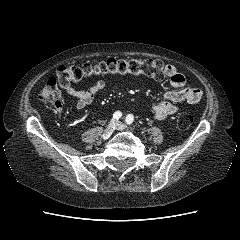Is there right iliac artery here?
I'll use <instances>...</instances> for the list:
<instances>
[{
  "label": "right iliac artery",
  "instance_id": "obj_1",
  "mask_svg": "<svg viewBox=\"0 0 240 240\" xmlns=\"http://www.w3.org/2000/svg\"><path fill=\"white\" fill-rule=\"evenodd\" d=\"M122 116V113L120 111H116L114 114H113V118L116 119V120H119Z\"/></svg>",
  "mask_w": 240,
  "mask_h": 240
}]
</instances>
